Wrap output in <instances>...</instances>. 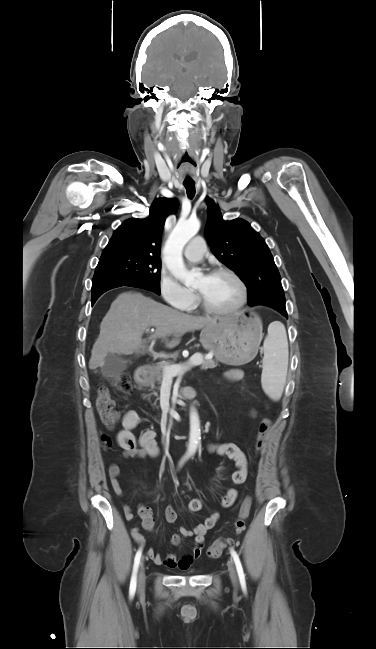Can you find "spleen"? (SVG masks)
Instances as JSON below:
<instances>
[{"label":"spleen","mask_w":376,"mask_h":649,"mask_svg":"<svg viewBox=\"0 0 376 649\" xmlns=\"http://www.w3.org/2000/svg\"><path fill=\"white\" fill-rule=\"evenodd\" d=\"M263 349L262 388L271 399L279 400L286 382L289 355L286 331L281 323L269 326Z\"/></svg>","instance_id":"1"}]
</instances>
